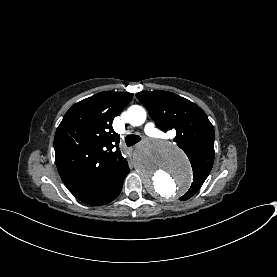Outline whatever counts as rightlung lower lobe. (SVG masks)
Here are the masks:
<instances>
[{
    "mask_svg": "<svg viewBox=\"0 0 277 277\" xmlns=\"http://www.w3.org/2000/svg\"><path fill=\"white\" fill-rule=\"evenodd\" d=\"M129 171L130 169L126 161L108 182L93 191L90 195L79 200L93 206L104 205L113 201L120 194L123 181Z\"/></svg>",
    "mask_w": 277,
    "mask_h": 277,
    "instance_id": "right-lung-lower-lobe-1",
    "label": "right lung lower lobe"
}]
</instances>
